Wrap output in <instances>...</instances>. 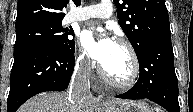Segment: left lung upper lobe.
I'll return each instance as SVG.
<instances>
[{
  "instance_id": "obj_1",
  "label": "left lung upper lobe",
  "mask_w": 193,
  "mask_h": 112,
  "mask_svg": "<svg viewBox=\"0 0 193 112\" xmlns=\"http://www.w3.org/2000/svg\"><path fill=\"white\" fill-rule=\"evenodd\" d=\"M119 24L140 56L153 40L170 32L164 0H113Z\"/></svg>"
}]
</instances>
